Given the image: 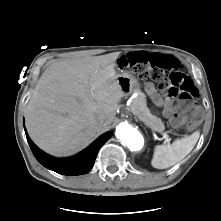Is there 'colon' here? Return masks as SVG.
<instances>
[{"label": "colon", "instance_id": "obj_1", "mask_svg": "<svg viewBox=\"0 0 221 221\" xmlns=\"http://www.w3.org/2000/svg\"><path fill=\"white\" fill-rule=\"evenodd\" d=\"M119 66L131 75L159 82L169 95L179 97L182 106L173 116L174 123L186 122L188 131L199 125L200 118L190 112V104L197 95V89L174 56L159 53L146 56L137 52L128 57H121Z\"/></svg>", "mask_w": 221, "mask_h": 221}]
</instances>
